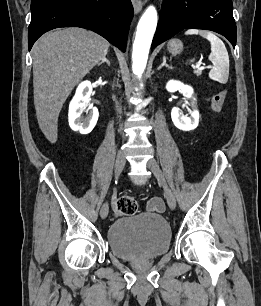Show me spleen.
Wrapping results in <instances>:
<instances>
[{"instance_id": "obj_1", "label": "spleen", "mask_w": 261, "mask_h": 306, "mask_svg": "<svg viewBox=\"0 0 261 306\" xmlns=\"http://www.w3.org/2000/svg\"><path fill=\"white\" fill-rule=\"evenodd\" d=\"M186 35H200L211 44L209 60L213 63V68L209 72V77L219 83L225 84L229 77V56L227 49L221 39L214 33L205 30L189 29ZM194 59L190 60L193 62Z\"/></svg>"}]
</instances>
